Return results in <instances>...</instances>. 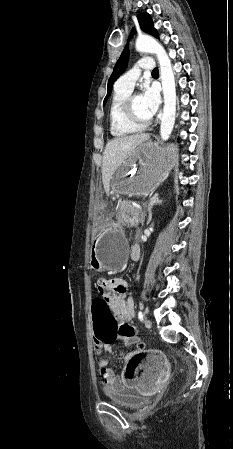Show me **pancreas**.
I'll list each match as a JSON object with an SVG mask.
<instances>
[{"label":"pancreas","instance_id":"pancreas-1","mask_svg":"<svg viewBox=\"0 0 233 449\" xmlns=\"http://www.w3.org/2000/svg\"><path fill=\"white\" fill-rule=\"evenodd\" d=\"M127 209H121L118 219L121 222H126L132 226H137L143 223L145 219V212L141 209L135 208L130 203L125 204Z\"/></svg>","mask_w":233,"mask_h":449}]
</instances>
